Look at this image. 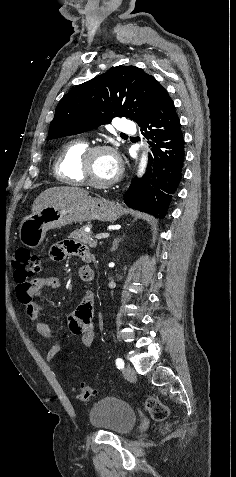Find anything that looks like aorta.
<instances>
[{
    "label": "aorta",
    "mask_w": 236,
    "mask_h": 477,
    "mask_svg": "<svg viewBox=\"0 0 236 477\" xmlns=\"http://www.w3.org/2000/svg\"><path fill=\"white\" fill-rule=\"evenodd\" d=\"M148 155L146 152H142L139 168H138V176H142L147 166Z\"/></svg>",
    "instance_id": "aorta-1"
}]
</instances>
